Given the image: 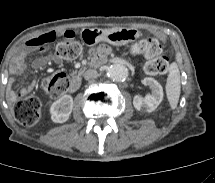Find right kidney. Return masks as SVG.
Returning a JSON list of instances; mask_svg holds the SVG:
<instances>
[{
	"label": "right kidney",
	"instance_id": "ca27d5eb",
	"mask_svg": "<svg viewBox=\"0 0 215 183\" xmlns=\"http://www.w3.org/2000/svg\"><path fill=\"white\" fill-rule=\"evenodd\" d=\"M73 109V98L71 95H63L52 103L50 107L51 119L56 123L66 122Z\"/></svg>",
	"mask_w": 215,
	"mask_h": 183
}]
</instances>
